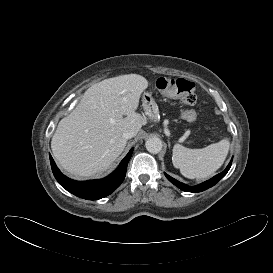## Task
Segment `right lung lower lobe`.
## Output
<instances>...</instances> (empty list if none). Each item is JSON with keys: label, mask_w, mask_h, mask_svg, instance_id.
I'll use <instances>...</instances> for the list:
<instances>
[{"label": "right lung lower lobe", "mask_w": 273, "mask_h": 273, "mask_svg": "<svg viewBox=\"0 0 273 273\" xmlns=\"http://www.w3.org/2000/svg\"><path fill=\"white\" fill-rule=\"evenodd\" d=\"M133 148L129 151L126 157L121 161L118 168L109 176L85 182H78L69 179L63 175L57 168L54 160L50 155L52 172L58 183L70 193L87 200H98L111 194L123 182L128 162L131 158Z\"/></svg>", "instance_id": "obj_1"}]
</instances>
